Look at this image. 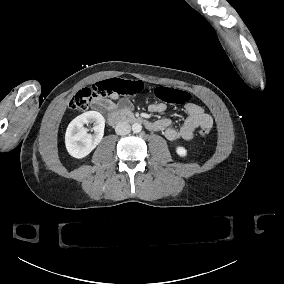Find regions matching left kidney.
<instances>
[{
  "label": "left kidney",
  "instance_id": "5707ae66",
  "mask_svg": "<svg viewBox=\"0 0 284 284\" xmlns=\"http://www.w3.org/2000/svg\"><path fill=\"white\" fill-rule=\"evenodd\" d=\"M176 152L181 157H185L187 155V150L184 147H177Z\"/></svg>",
  "mask_w": 284,
  "mask_h": 284
}]
</instances>
